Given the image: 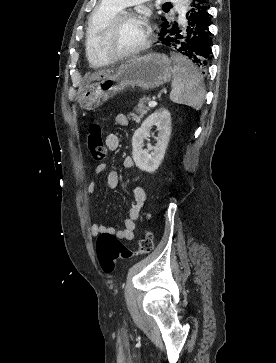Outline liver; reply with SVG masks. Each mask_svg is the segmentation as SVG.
<instances>
[{
  "instance_id": "obj_1",
  "label": "liver",
  "mask_w": 276,
  "mask_h": 363,
  "mask_svg": "<svg viewBox=\"0 0 276 363\" xmlns=\"http://www.w3.org/2000/svg\"><path fill=\"white\" fill-rule=\"evenodd\" d=\"M109 69H104V70H100V71H96L93 74H91L88 79L87 82L90 83L91 81H94L95 79H97L99 76L103 75L104 73L108 72Z\"/></svg>"
}]
</instances>
